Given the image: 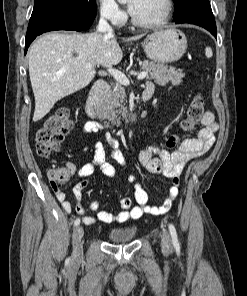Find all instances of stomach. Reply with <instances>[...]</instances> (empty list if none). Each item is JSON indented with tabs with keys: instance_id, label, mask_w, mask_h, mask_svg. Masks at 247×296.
<instances>
[{
	"instance_id": "0dacf381",
	"label": "stomach",
	"mask_w": 247,
	"mask_h": 296,
	"mask_svg": "<svg viewBox=\"0 0 247 296\" xmlns=\"http://www.w3.org/2000/svg\"><path fill=\"white\" fill-rule=\"evenodd\" d=\"M146 56L154 62L168 64L178 61L186 52L187 38L175 28L155 31L142 42Z\"/></svg>"
}]
</instances>
